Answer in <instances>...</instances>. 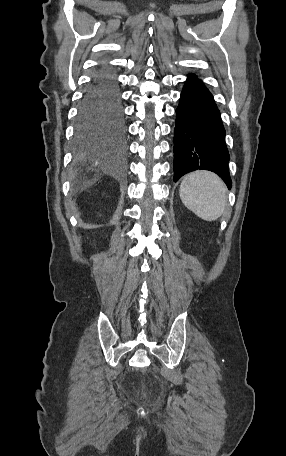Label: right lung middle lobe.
I'll use <instances>...</instances> for the list:
<instances>
[{
	"label": "right lung middle lobe",
	"instance_id": "1",
	"mask_svg": "<svg viewBox=\"0 0 286 456\" xmlns=\"http://www.w3.org/2000/svg\"><path fill=\"white\" fill-rule=\"evenodd\" d=\"M123 128H124L123 124L116 125V126H107V125H103L100 123L89 122V123L81 125L79 127V132L82 135H93V134H98V133H102L107 130H110V131L118 132V133L124 135Z\"/></svg>",
	"mask_w": 286,
	"mask_h": 456
}]
</instances>
